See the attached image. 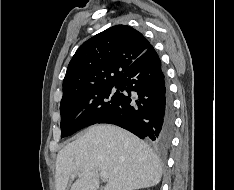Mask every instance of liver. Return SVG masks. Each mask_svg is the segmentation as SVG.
Here are the masks:
<instances>
[{"mask_svg":"<svg viewBox=\"0 0 234 190\" xmlns=\"http://www.w3.org/2000/svg\"><path fill=\"white\" fill-rule=\"evenodd\" d=\"M102 171L109 175L104 190L151 187L162 177L160 160L145 142L120 127L94 125L59 151L56 190H98Z\"/></svg>","mask_w":234,"mask_h":190,"instance_id":"6515ba94","label":"liver"}]
</instances>
